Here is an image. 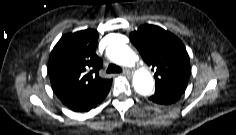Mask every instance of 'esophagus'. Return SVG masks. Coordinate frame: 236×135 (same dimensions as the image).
<instances>
[{
  "label": "esophagus",
  "mask_w": 236,
  "mask_h": 135,
  "mask_svg": "<svg viewBox=\"0 0 236 135\" xmlns=\"http://www.w3.org/2000/svg\"><path fill=\"white\" fill-rule=\"evenodd\" d=\"M123 74L126 75V76H130L131 72L128 69H124Z\"/></svg>",
  "instance_id": "esophagus-1"
}]
</instances>
